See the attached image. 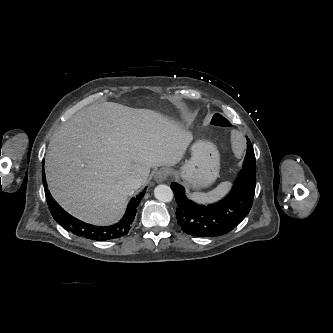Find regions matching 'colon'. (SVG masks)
Wrapping results in <instances>:
<instances>
[{
  "label": "colon",
  "mask_w": 333,
  "mask_h": 333,
  "mask_svg": "<svg viewBox=\"0 0 333 333\" xmlns=\"http://www.w3.org/2000/svg\"><path fill=\"white\" fill-rule=\"evenodd\" d=\"M210 124L216 127H228V120L221 114H213L210 117Z\"/></svg>",
  "instance_id": "obj_1"
}]
</instances>
